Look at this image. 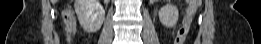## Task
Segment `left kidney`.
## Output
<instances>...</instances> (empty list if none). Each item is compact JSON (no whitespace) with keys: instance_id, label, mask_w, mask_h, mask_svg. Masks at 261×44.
<instances>
[{"instance_id":"1","label":"left kidney","mask_w":261,"mask_h":44,"mask_svg":"<svg viewBox=\"0 0 261 44\" xmlns=\"http://www.w3.org/2000/svg\"><path fill=\"white\" fill-rule=\"evenodd\" d=\"M179 17L178 8L174 5H167L159 11L160 22L167 28L177 24Z\"/></svg>"}]
</instances>
